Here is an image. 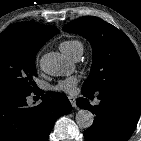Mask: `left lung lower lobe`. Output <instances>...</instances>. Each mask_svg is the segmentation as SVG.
Segmentation results:
<instances>
[{
    "mask_svg": "<svg viewBox=\"0 0 141 141\" xmlns=\"http://www.w3.org/2000/svg\"><path fill=\"white\" fill-rule=\"evenodd\" d=\"M85 97L91 95L82 89ZM98 106L90 105L85 98H78L80 108L96 116L91 127L84 132L87 141H128L141 114V90L106 89L98 92Z\"/></svg>",
    "mask_w": 141,
    "mask_h": 141,
    "instance_id": "obj_1",
    "label": "left lung lower lobe"
}]
</instances>
